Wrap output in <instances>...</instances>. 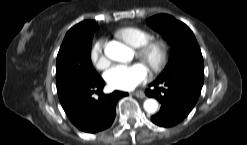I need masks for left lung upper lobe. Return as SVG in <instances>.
<instances>
[{"mask_svg": "<svg viewBox=\"0 0 247 145\" xmlns=\"http://www.w3.org/2000/svg\"><path fill=\"white\" fill-rule=\"evenodd\" d=\"M148 24L171 44V56L159 77L177 71L204 73L203 57L193 32L184 23L168 14H160L148 19Z\"/></svg>", "mask_w": 247, "mask_h": 145, "instance_id": "left-lung-upper-lobe-1", "label": "left lung upper lobe"}]
</instances>
